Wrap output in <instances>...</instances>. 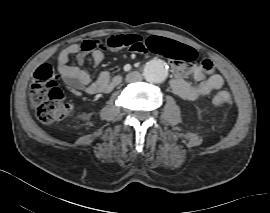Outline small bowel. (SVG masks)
<instances>
[{
  "label": "small bowel",
  "mask_w": 270,
  "mask_h": 213,
  "mask_svg": "<svg viewBox=\"0 0 270 213\" xmlns=\"http://www.w3.org/2000/svg\"><path fill=\"white\" fill-rule=\"evenodd\" d=\"M160 41L175 47L173 51H167L166 54L171 60V68L174 74L171 86L178 96L192 101L223 86L224 78L221 74L213 71L212 63L210 72H206L201 66L193 64L198 55L192 47L167 39ZM124 49H130L135 54L146 49L157 50L149 43L146 46H141L138 42H136L133 50L125 35H115L99 41L88 39L79 44L65 47L59 54V71L67 85V90L74 96H79L81 91L90 95L111 91L121 82V77L119 75L111 76L105 70L94 77L93 74L83 68V62L90 55L91 65L95 70L100 66L108 51ZM72 57L76 59V63L73 65L69 63ZM188 76H192L197 84L187 82L185 78Z\"/></svg>",
  "instance_id": "obj_1"
}]
</instances>
